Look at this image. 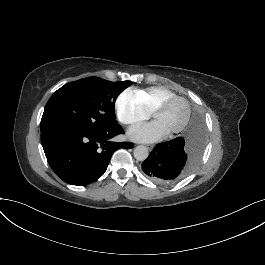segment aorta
Instances as JSON below:
<instances>
[{"instance_id": "aorta-1", "label": "aorta", "mask_w": 265, "mask_h": 265, "mask_svg": "<svg viewBox=\"0 0 265 265\" xmlns=\"http://www.w3.org/2000/svg\"><path fill=\"white\" fill-rule=\"evenodd\" d=\"M149 155L148 149L145 146L139 145L134 149V157L139 161H144Z\"/></svg>"}]
</instances>
